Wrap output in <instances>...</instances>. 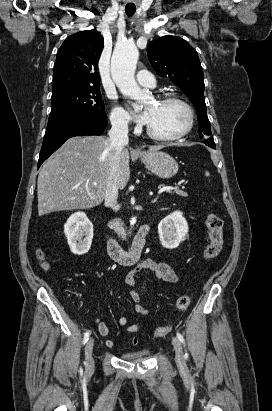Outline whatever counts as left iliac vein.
Segmentation results:
<instances>
[{"label": "left iliac vein", "instance_id": "obj_1", "mask_svg": "<svg viewBox=\"0 0 272 411\" xmlns=\"http://www.w3.org/2000/svg\"><path fill=\"white\" fill-rule=\"evenodd\" d=\"M172 345L175 350L177 364L179 366H183L184 365V355H183V348H182L180 341L177 338L173 337Z\"/></svg>", "mask_w": 272, "mask_h": 411}]
</instances>
